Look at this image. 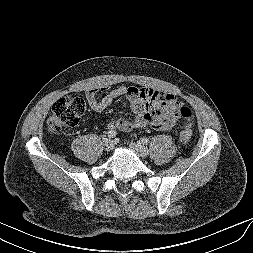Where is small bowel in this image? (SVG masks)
Returning a JSON list of instances; mask_svg holds the SVG:
<instances>
[{"mask_svg": "<svg viewBox=\"0 0 253 253\" xmlns=\"http://www.w3.org/2000/svg\"><path fill=\"white\" fill-rule=\"evenodd\" d=\"M98 92L99 89L92 88L85 93L89 106L97 112L105 110L120 98L127 97L129 100L134 117L132 119H112L108 123V128L113 131L126 132L145 126L159 131H167L172 128L178 119L183 120L185 127L189 126L193 119V116L190 120L183 119L182 110L189 108L185 107L177 96L165 91L135 86H120L101 98H98Z\"/></svg>", "mask_w": 253, "mask_h": 253, "instance_id": "1", "label": "small bowel"}]
</instances>
